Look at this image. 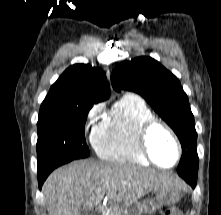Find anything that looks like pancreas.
<instances>
[{"label": "pancreas", "mask_w": 221, "mask_h": 215, "mask_svg": "<svg viewBox=\"0 0 221 215\" xmlns=\"http://www.w3.org/2000/svg\"><path fill=\"white\" fill-rule=\"evenodd\" d=\"M109 215H123V213L119 206H114L109 210Z\"/></svg>", "instance_id": "1"}]
</instances>
